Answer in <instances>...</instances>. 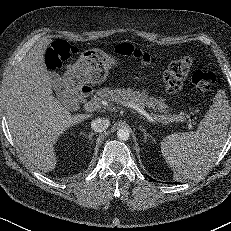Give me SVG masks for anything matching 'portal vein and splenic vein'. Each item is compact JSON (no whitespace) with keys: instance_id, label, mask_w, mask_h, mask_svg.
<instances>
[{"instance_id":"18ae733b","label":"portal vein and splenic vein","mask_w":231,"mask_h":231,"mask_svg":"<svg viewBox=\"0 0 231 231\" xmlns=\"http://www.w3.org/2000/svg\"><path fill=\"white\" fill-rule=\"evenodd\" d=\"M129 107H132L133 109L137 110L139 113H141L142 115H144L148 120H150L151 122H162V119L158 118L156 115H150L148 114L144 109H142L141 107L134 105V104H129ZM84 109L87 111H95L97 109L101 108V103L98 101H89L86 104H84ZM186 117L182 116V115H175L174 117L170 118L171 122H184L186 121ZM164 123V122H162Z\"/></svg>"}]
</instances>
